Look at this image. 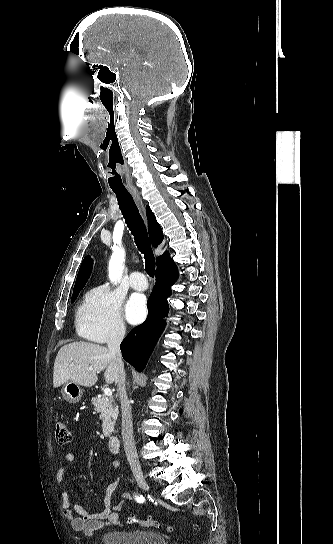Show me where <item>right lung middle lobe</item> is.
Masks as SVG:
<instances>
[{
  "mask_svg": "<svg viewBox=\"0 0 333 544\" xmlns=\"http://www.w3.org/2000/svg\"><path fill=\"white\" fill-rule=\"evenodd\" d=\"M79 292H80V291L73 292V294H72V302H74V301L76 300V298H77Z\"/></svg>",
  "mask_w": 333,
  "mask_h": 544,
  "instance_id": "1",
  "label": "right lung middle lobe"
}]
</instances>
